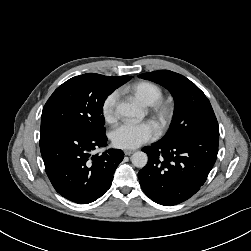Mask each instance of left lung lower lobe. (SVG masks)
Here are the masks:
<instances>
[{"label": "left lung lower lobe", "mask_w": 251, "mask_h": 251, "mask_svg": "<svg viewBox=\"0 0 251 251\" xmlns=\"http://www.w3.org/2000/svg\"><path fill=\"white\" fill-rule=\"evenodd\" d=\"M218 135H194L181 141H158L143 148L148 164L138 178L154 202L173 206L193 196L206 181L218 153Z\"/></svg>", "instance_id": "left-lung-lower-lobe-1"}]
</instances>
